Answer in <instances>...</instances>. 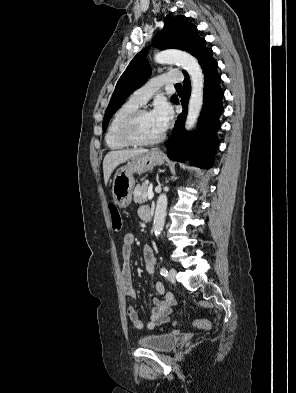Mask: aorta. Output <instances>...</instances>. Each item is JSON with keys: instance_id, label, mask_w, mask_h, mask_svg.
Segmentation results:
<instances>
[{"instance_id": "762f6f07", "label": "aorta", "mask_w": 296, "mask_h": 393, "mask_svg": "<svg viewBox=\"0 0 296 393\" xmlns=\"http://www.w3.org/2000/svg\"><path fill=\"white\" fill-rule=\"evenodd\" d=\"M155 61L159 64L178 63L188 72L191 79V95L188 103V114L185 122V128L187 130L193 128L202 109L204 93V75L197 59L183 51L165 50L155 55ZM166 208L167 196L162 193L159 195L157 200L153 223V230L156 236L163 230Z\"/></svg>"}]
</instances>
